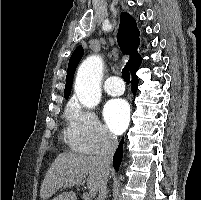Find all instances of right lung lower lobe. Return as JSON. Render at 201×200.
<instances>
[{
	"instance_id": "1",
	"label": "right lung lower lobe",
	"mask_w": 201,
	"mask_h": 200,
	"mask_svg": "<svg viewBox=\"0 0 201 200\" xmlns=\"http://www.w3.org/2000/svg\"><path fill=\"white\" fill-rule=\"evenodd\" d=\"M137 86H138V77L136 76V72H134V73H132V89H133L134 93H136ZM123 142H124V138H122V140L113 156V166L116 171L119 170V167H120V164L122 161Z\"/></svg>"
}]
</instances>
